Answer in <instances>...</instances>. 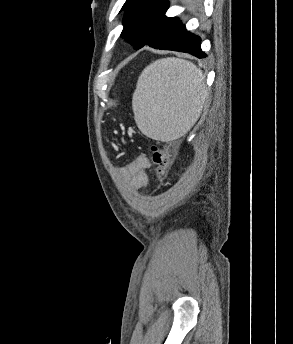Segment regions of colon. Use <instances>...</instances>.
I'll return each mask as SVG.
<instances>
[{
  "label": "colon",
  "instance_id": "obj_1",
  "mask_svg": "<svg viewBox=\"0 0 293 344\" xmlns=\"http://www.w3.org/2000/svg\"><path fill=\"white\" fill-rule=\"evenodd\" d=\"M152 163L158 179H163L171 164V153L168 146H152Z\"/></svg>",
  "mask_w": 293,
  "mask_h": 344
}]
</instances>
